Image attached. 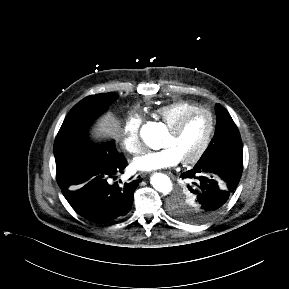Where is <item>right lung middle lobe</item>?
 Wrapping results in <instances>:
<instances>
[{"instance_id": "obj_1", "label": "right lung middle lobe", "mask_w": 289, "mask_h": 289, "mask_svg": "<svg viewBox=\"0 0 289 289\" xmlns=\"http://www.w3.org/2000/svg\"><path fill=\"white\" fill-rule=\"evenodd\" d=\"M118 97L116 93L91 95L77 103L66 116L54 143L56 162L78 153L100 155L103 151H116L114 144L92 145L87 129L92 121Z\"/></svg>"}]
</instances>
